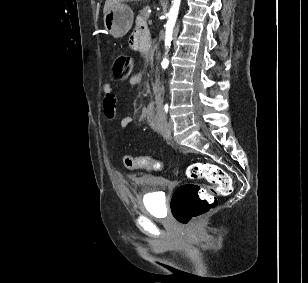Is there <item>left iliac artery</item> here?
<instances>
[{"label": "left iliac artery", "instance_id": "1", "mask_svg": "<svg viewBox=\"0 0 308 283\" xmlns=\"http://www.w3.org/2000/svg\"><path fill=\"white\" fill-rule=\"evenodd\" d=\"M165 111L167 112V106L165 105Z\"/></svg>", "mask_w": 308, "mask_h": 283}]
</instances>
